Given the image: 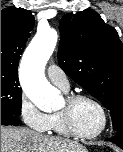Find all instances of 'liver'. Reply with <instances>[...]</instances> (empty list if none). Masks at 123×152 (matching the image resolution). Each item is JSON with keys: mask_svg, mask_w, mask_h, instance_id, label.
<instances>
[{"mask_svg": "<svg viewBox=\"0 0 123 152\" xmlns=\"http://www.w3.org/2000/svg\"><path fill=\"white\" fill-rule=\"evenodd\" d=\"M1 152H87L76 142L42 135L28 128L1 126Z\"/></svg>", "mask_w": 123, "mask_h": 152, "instance_id": "6515ba94", "label": "liver"}]
</instances>
